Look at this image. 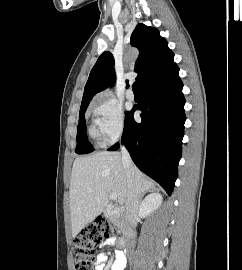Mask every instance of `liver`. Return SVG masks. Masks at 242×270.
<instances>
[{"label": "liver", "mask_w": 242, "mask_h": 270, "mask_svg": "<svg viewBox=\"0 0 242 270\" xmlns=\"http://www.w3.org/2000/svg\"><path fill=\"white\" fill-rule=\"evenodd\" d=\"M155 183L137 167L128 179L117 152H97L75 159L70 183L72 236L77 234L107 207L109 194H117L118 203L126 204L131 188L138 195L154 188Z\"/></svg>", "instance_id": "liver-1"}]
</instances>
